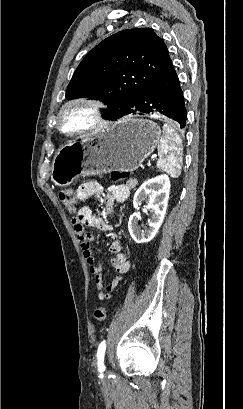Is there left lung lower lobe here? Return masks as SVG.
<instances>
[{"label":"left lung lower lobe","mask_w":243,"mask_h":409,"mask_svg":"<svg viewBox=\"0 0 243 409\" xmlns=\"http://www.w3.org/2000/svg\"><path fill=\"white\" fill-rule=\"evenodd\" d=\"M155 112L177 121L181 128L185 127L187 112L183 92L174 68L149 85L132 101L128 109L118 113L116 119L127 114Z\"/></svg>","instance_id":"1"}]
</instances>
